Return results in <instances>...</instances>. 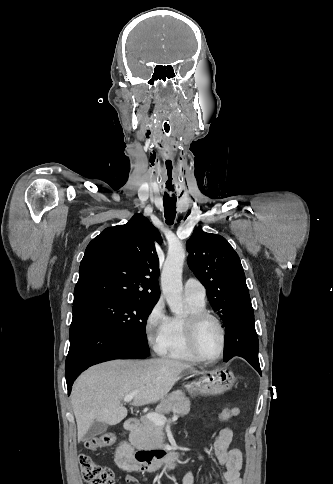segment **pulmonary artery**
Here are the masks:
<instances>
[{
    "instance_id": "1",
    "label": "pulmonary artery",
    "mask_w": 333,
    "mask_h": 484,
    "mask_svg": "<svg viewBox=\"0 0 333 484\" xmlns=\"http://www.w3.org/2000/svg\"><path fill=\"white\" fill-rule=\"evenodd\" d=\"M184 294L188 298H192L201 302H205L206 299V290L203 284L195 278H188L185 281Z\"/></svg>"
}]
</instances>
